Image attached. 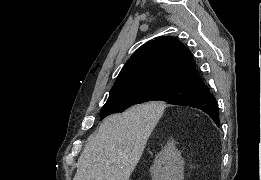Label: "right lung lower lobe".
<instances>
[{
    "instance_id": "1",
    "label": "right lung lower lobe",
    "mask_w": 261,
    "mask_h": 180,
    "mask_svg": "<svg viewBox=\"0 0 261 180\" xmlns=\"http://www.w3.org/2000/svg\"><path fill=\"white\" fill-rule=\"evenodd\" d=\"M169 103L187 105L200 109L209 115L217 125L220 123L216 98L204 83H202V89L199 92L179 97Z\"/></svg>"
}]
</instances>
